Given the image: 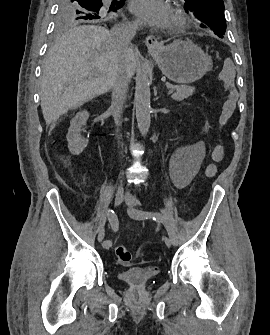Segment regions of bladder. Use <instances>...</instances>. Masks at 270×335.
<instances>
[{
	"mask_svg": "<svg viewBox=\"0 0 270 335\" xmlns=\"http://www.w3.org/2000/svg\"><path fill=\"white\" fill-rule=\"evenodd\" d=\"M149 268H135L126 270L123 273H119V278L136 288L143 287L146 284H150L153 279V275L150 273Z\"/></svg>",
	"mask_w": 270,
	"mask_h": 335,
	"instance_id": "obj_1",
	"label": "bladder"
}]
</instances>
